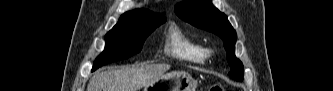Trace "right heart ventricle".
<instances>
[{"label":"right heart ventricle","instance_id":"e07e8e85","mask_svg":"<svg viewBox=\"0 0 333 91\" xmlns=\"http://www.w3.org/2000/svg\"><path fill=\"white\" fill-rule=\"evenodd\" d=\"M166 53L178 60L204 64L207 59V50L202 41L186 34L177 25H171L166 35Z\"/></svg>","mask_w":333,"mask_h":91}]
</instances>
